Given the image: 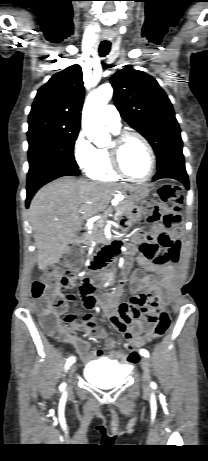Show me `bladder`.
Returning a JSON list of instances; mask_svg holds the SVG:
<instances>
[{
    "label": "bladder",
    "instance_id": "obj_1",
    "mask_svg": "<svg viewBox=\"0 0 208 461\" xmlns=\"http://www.w3.org/2000/svg\"><path fill=\"white\" fill-rule=\"evenodd\" d=\"M129 368L109 359L91 361L84 369L85 379L95 386L111 388L122 382Z\"/></svg>",
    "mask_w": 208,
    "mask_h": 461
}]
</instances>
